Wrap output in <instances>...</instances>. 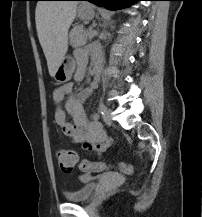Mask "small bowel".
I'll return each instance as SVG.
<instances>
[{"instance_id": "small-bowel-1", "label": "small bowel", "mask_w": 202, "mask_h": 217, "mask_svg": "<svg viewBox=\"0 0 202 217\" xmlns=\"http://www.w3.org/2000/svg\"><path fill=\"white\" fill-rule=\"evenodd\" d=\"M75 56L77 69L74 80L80 81L85 76L87 56L82 51H77ZM93 67H99L97 59L94 60ZM98 81L99 79L93 78V81L77 95H73L72 83L59 86L54 90L53 98L56 103L55 121L61 132L86 151L101 153L111 147L112 141L102 129L98 115L93 114L91 119H88L83 109V103L93 95ZM62 103L64 107L61 106ZM67 114L71 116V121L67 120Z\"/></svg>"}]
</instances>
